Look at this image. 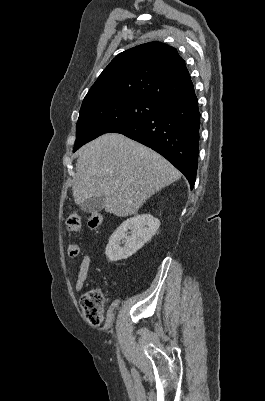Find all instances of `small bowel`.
I'll list each match as a JSON object with an SVG mask.
<instances>
[{"instance_id":"obj_1","label":"small bowel","mask_w":265,"mask_h":401,"mask_svg":"<svg viewBox=\"0 0 265 401\" xmlns=\"http://www.w3.org/2000/svg\"><path fill=\"white\" fill-rule=\"evenodd\" d=\"M91 265V257L89 254H86L82 257V260L80 262V265L78 267L77 271V281L75 284V291L80 292L84 284L88 278V273H89V268Z\"/></svg>"}]
</instances>
